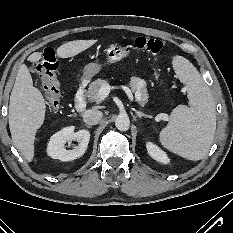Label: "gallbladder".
<instances>
[{
  "label": "gallbladder",
  "instance_id": "bac80fb5",
  "mask_svg": "<svg viewBox=\"0 0 233 233\" xmlns=\"http://www.w3.org/2000/svg\"><path fill=\"white\" fill-rule=\"evenodd\" d=\"M30 72L36 73L35 69H33V68H30Z\"/></svg>",
  "mask_w": 233,
  "mask_h": 233
}]
</instances>
